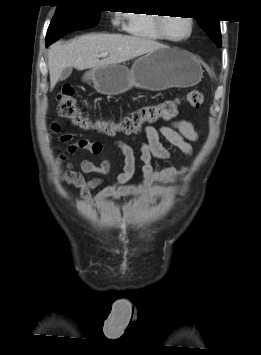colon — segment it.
<instances>
[{
    "instance_id": "colon-1",
    "label": "colon",
    "mask_w": 261,
    "mask_h": 355,
    "mask_svg": "<svg viewBox=\"0 0 261 355\" xmlns=\"http://www.w3.org/2000/svg\"><path fill=\"white\" fill-rule=\"evenodd\" d=\"M74 88L65 85L58 94V111L61 117L69 123L84 131H95L108 136L116 134H136L144 127L157 121H170L176 117L181 102L193 108L204 103V95L199 90H190L182 99H169L158 104L146 105L127 114L119 121L93 120L80 107L74 98Z\"/></svg>"
}]
</instances>
